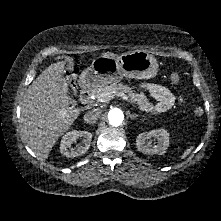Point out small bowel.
Instances as JSON below:
<instances>
[{"instance_id":"obj_1","label":"small bowel","mask_w":221,"mask_h":221,"mask_svg":"<svg viewBox=\"0 0 221 221\" xmlns=\"http://www.w3.org/2000/svg\"><path fill=\"white\" fill-rule=\"evenodd\" d=\"M140 87L147 90L157 101L154 107L157 112H165L169 110L172 108L176 101L180 104L184 103V98L182 96L176 97L162 85L154 83H142Z\"/></svg>"}]
</instances>
